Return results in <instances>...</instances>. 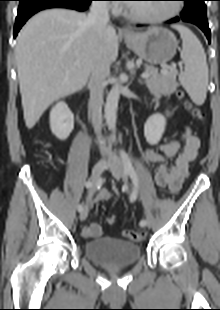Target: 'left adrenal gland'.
Instances as JSON below:
<instances>
[{
	"label": "left adrenal gland",
	"instance_id": "1",
	"mask_svg": "<svg viewBox=\"0 0 220 310\" xmlns=\"http://www.w3.org/2000/svg\"><path fill=\"white\" fill-rule=\"evenodd\" d=\"M140 82V84H143V82L142 81H139Z\"/></svg>",
	"mask_w": 220,
	"mask_h": 310
}]
</instances>
